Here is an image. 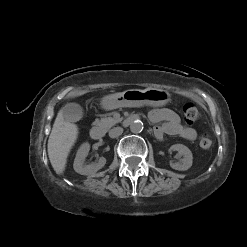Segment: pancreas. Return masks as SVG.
Returning a JSON list of instances; mask_svg holds the SVG:
<instances>
[{
    "mask_svg": "<svg viewBox=\"0 0 247 247\" xmlns=\"http://www.w3.org/2000/svg\"><path fill=\"white\" fill-rule=\"evenodd\" d=\"M121 120H122V118H120L119 116L103 117V118H101V120L95 121V124L108 130L112 126H114L116 123L120 122Z\"/></svg>",
    "mask_w": 247,
    "mask_h": 247,
    "instance_id": "cf45deb5",
    "label": "pancreas"
}]
</instances>
